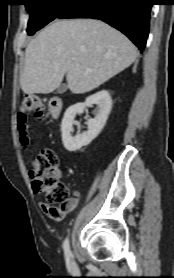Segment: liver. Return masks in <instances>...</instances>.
Wrapping results in <instances>:
<instances>
[{
  "label": "liver",
  "instance_id": "6515ba94",
  "mask_svg": "<svg viewBox=\"0 0 174 278\" xmlns=\"http://www.w3.org/2000/svg\"><path fill=\"white\" fill-rule=\"evenodd\" d=\"M136 57L134 44L100 20H56L26 47L20 86L25 94H49L66 74L69 90L82 94L128 68Z\"/></svg>",
  "mask_w": 174,
  "mask_h": 278
}]
</instances>
